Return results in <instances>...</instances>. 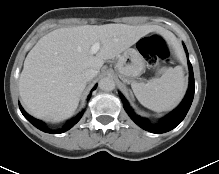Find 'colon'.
Instances as JSON below:
<instances>
[{
    "mask_svg": "<svg viewBox=\"0 0 219 174\" xmlns=\"http://www.w3.org/2000/svg\"><path fill=\"white\" fill-rule=\"evenodd\" d=\"M138 50L147 64L158 71L168 63L169 51L164 40L158 35L144 37L138 42Z\"/></svg>",
    "mask_w": 219,
    "mask_h": 174,
    "instance_id": "1",
    "label": "colon"
}]
</instances>
